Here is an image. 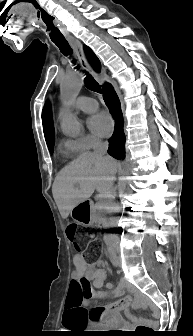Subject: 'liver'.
I'll use <instances>...</instances> for the list:
<instances>
[{
	"label": "liver",
	"mask_w": 193,
	"mask_h": 336,
	"mask_svg": "<svg viewBox=\"0 0 193 336\" xmlns=\"http://www.w3.org/2000/svg\"><path fill=\"white\" fill-rule=\"evenodd\" d=\"M117 163L95 154L84 152L56 176L52 194L61 217L66 219L79 203L88 200L97 190L101 196L110 193L108 178L116 172Z\"/></svg>",
	"instance_id": "1"
}]
</instances>
